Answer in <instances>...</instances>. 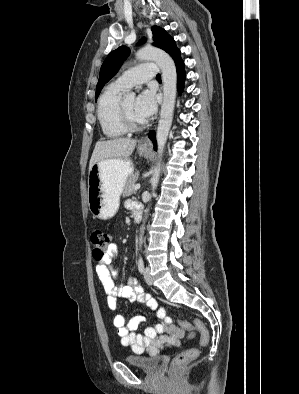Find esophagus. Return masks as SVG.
<instances>
[{
	"label": "esophagus",
	"mask_w": 299,
	"mask_h": 394,
	"mask_svg": "<svg viewBox=\"0 0 299 394\" xmlns=\"http://www.w3.org/2000/svg\"><path fill=\"white\" fill-rule=\"evenodd\" d=\"M140 145H141V147L148 148V147H150L151 144H150V141L148 139L142 138L140 140Z\"/></svg>",
	"instance_id": "obj_1"
}]
</instances>
